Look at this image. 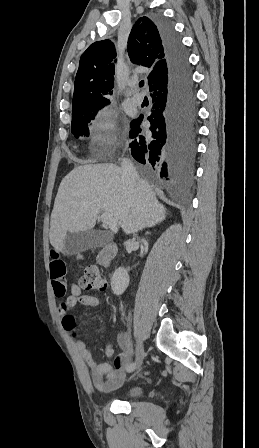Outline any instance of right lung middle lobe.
Returning <instances> with one entry per match:
<instances>
[{"label":"right lung middle lobe","mask_w":259,"mask_h":448,"mask_svg":"<svg viewBox=\"0 0 259 448\" xmlns=\"http://www.w3.org/2000/svg\"><path fill=\"white\" fill-rule=\"evenodd\" d=\"M104 106L105 105L90 107L87 109L72 112L71 132L76 138H78L79 136L89 135L88 124L91 120L94 119L98 110L103 108Z\"/></svg>","instance_id":"right-lung-middle-lobe-1"}]
</instances>
